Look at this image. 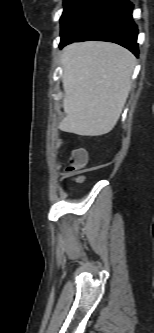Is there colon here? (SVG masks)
<instances>
[{
  "label": "colon",
  "instance_id": "obj_1",
  "mask_svg": "<svg viewBox=\"0 0 154 333\" xmlns=\"http://www.w3.org/2000/svg\"><path fill=\"white\" fill-rule=\"evenodd\" d=\"M87 165V155L81 150H74L69 165L66 167L64 175L66 178L80 182L83 180V172Z\"/></svg>",
  "mask_w": 154,
  "mask_h": 333
}]
</instances>
